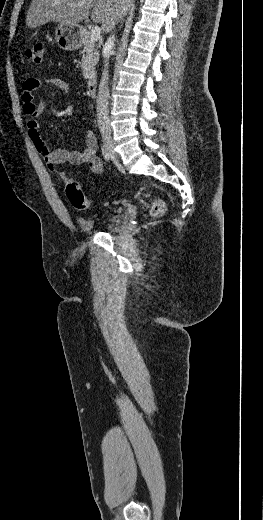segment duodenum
Here are the masks:
<instances>
[{"label":"duodenum","mask_w":263,"mask_h":520,"mask_svg":"<svg viewBox=\"0 0 263 520\" xmlns=\"http://www.w3.org/2000/svg\"><path fill=\"white\" fill-rule=\"evenodd\" d=\"M87 91L90 96H95L97 93V79L95 77L89 78L87 82Z\"/></svg>","instance_id":"obj_1"}]
</instances>
